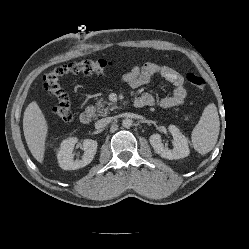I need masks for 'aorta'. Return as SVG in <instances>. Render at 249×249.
I'll list each match as a JSON object with an SVG mask.
<instances>
[{
    "label": "aorta",
    "mask_w": 249,
    "mask_h": 249,
    "mask_svg": "<svg viewBox=\"0 0 249 249\" xmlns=\"http://www.w3.org/2000/svg\"><path fill=\"white\" fill-rule=\"evenodd\" d=\"M122 126L125 128H130L132 126V120L131 119H124L122 121Z\"/></svg>",
    "instance_id": "1"
}]
</instances>
